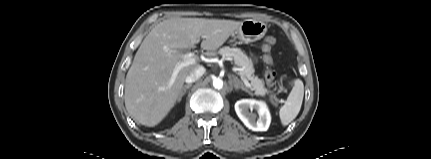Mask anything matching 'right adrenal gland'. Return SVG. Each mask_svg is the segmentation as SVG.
Wrapping results in <instances>:
<instances>
[{
  "label": "right adrenal gland",
  "instance_id": "1",
  "mask_svg": "<svg viewBox=\"0 0 431 159\" xmlns=\"http://www.w3.org/2000/svg\"><path fill=\"white\" fill-rule=\"evenodd\" d=\"M191 86H192V84H188V85H185V86L182 88V90H181V92H180V95H179V97H178V102H180V101H181V99H182L183 95L186 93V90H187V89H189Z\"/></svg>",
  "mask_w": 431,
  "mask_h": 159
}]
</instances>
